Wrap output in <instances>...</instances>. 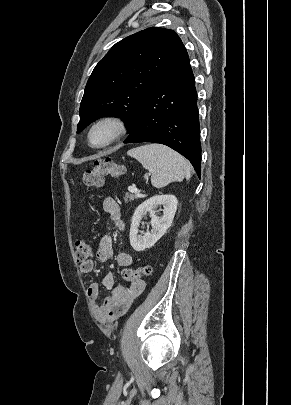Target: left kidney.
I'll use <instances>...</instances> for the list:
<instances>
[{
  "instance_id": "obj_1",
  "label": "left kidney",
  "mask_w": 291,
  "mask_h": 405,
  "mask_svg": "<svg viewBox=\"0 0 291 405\" xmlns=\"http://www.w3.org/2000/svg\"><path fill=\"white\" fill-rule=\"evenodd\" d=\"M161 205L163 206V214L159 217L155 214V209ZM177 205L178 200L174 195H156L136 208L129 234L130 244L135 251H143L152 247L166 233L167 229L172 225ZM147 213H150L151 216L152 230L142 236L138 234V228L143 216Z\"/></svg>"
}]
</instances>
